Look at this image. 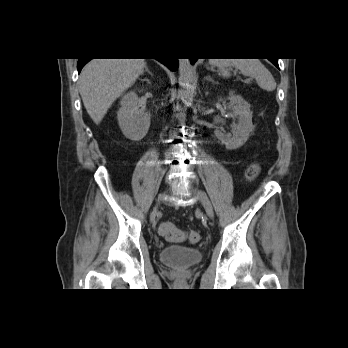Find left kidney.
<instances>
[{
	"label": "left kidney",
	"mask_w": 348,
	"mask_h": 348,
	"mask_svg": "<svg viewBox=\"0 0 348 348\" xmlns=\"http://www.w3.org/2000/svg\"><path fill=\"white\" fill-rule=\"evenodd\" d=\"M227 99L229 100L228 108L231 109L238 123L233 126L232 135L225 134L221 128H217L214 134L227 149L233 150L241 147L248 140L254 127L252 112L247 101L240 95H230ZM220 101H222L221 98Z\"/></svg>",
	"instance_id": "obj_1"
}]
</instances>
